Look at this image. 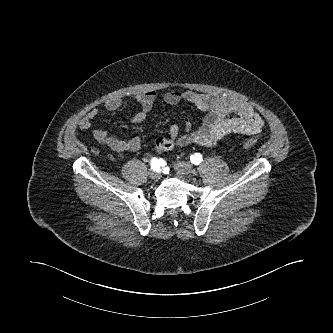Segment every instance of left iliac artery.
Listing matches in <instances>:
<instances>
[{
    "instance_id": "left-iliac-artery-1",
    "label": "left iliac artery",
    "mask_w": 333,
    "mask_h": 333,
    "mask_svg": "<svg viewBox=\"0 0 333 333\" xmlns=\"http://www.w3.org/2000/svg\"><path fill=\"white\" fill-rule=\"evenodd\" d=\"M190 160L193 164L199 165L202 162L203 158H202L201 154L195 153V154L190 156Z\"/></svg>"
}]
</instances>
